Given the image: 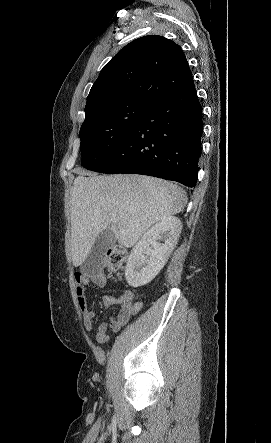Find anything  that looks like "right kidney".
<instances>
[{"instance_id":"right-kidney-1","label":"right kidney","mask_w":271,"mask_h":443,"mask_svg":"<svg viewBox=\"0 0 271 443\" xmlns=\"http://www.w3.org/2000/svg\"><path fill=\"white\" fill-rule=\"evenodd\" d=\"M181 229L179 218L166 216L160 222L155 223L146 233H143L141 239L132 247L127 259L125 277L129 285L139 287V285H145L154 279L168 261ZM157 239H164V243H159ZM144 253L149 255L147 259Z\"/></svg>"}]
</instances>
